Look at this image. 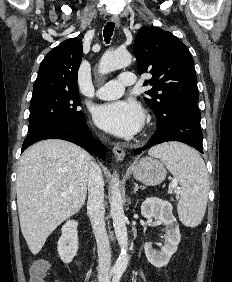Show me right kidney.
Returning <instances> with one entry per match:
<instances>
[{
  "instance_id": "1",
  "label": "right kidney",
  "mask_w": 232,
  "mask_h": 282,
  "mask_svg": "<svg viewBox=\"0 0 232 282\" xmlns=\"http://www.w3.org/2000/svg\"><path fill=\"white\" fill-rule=\"evenodd\" d=\"M78 223L67 221L62 227V235L58 240V254L64 263L72 262L78 251Z\"/></svg>"
}]
</instances>
